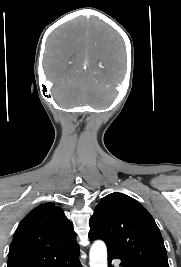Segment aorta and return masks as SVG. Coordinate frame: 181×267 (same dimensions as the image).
Returning <instances> with one entry per match:
<instances>
[{"instance_id": "obj_1", "label": "aorta", "mask_w": 181, "mask_h": 267, "mask_svg": "<svg viewBox=\"0 0 181 267\" xmlns=\"http://www.w3.org/2000/svg\"><path fill=\"white\" fill-rule=\"evenodd\" d=\"M90 267H107V247L101 240L95 241L89 253Z\"/></svg>"}]
</instances>
